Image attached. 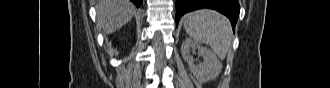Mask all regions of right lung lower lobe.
Here are the masks:
<instances>
[{
    "mask_svg": "<svg viewBox=\"0 0 330 88\" xmlns=\"http://www.w3.org/2000/svg\"><path fill=\"white\" fill-rule=\"evenodd\" d=\"M132 1L137 7H140L142 0H130Z\"/></svg>",
    "mask_w": 330,
    "mask_h": 88,
    "instance_id": "right-lung-lower-lobe-1",
    "label": "right lung lower lobe"
}]
</instances>
